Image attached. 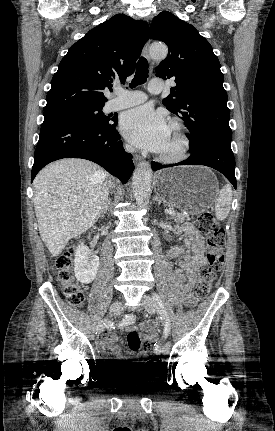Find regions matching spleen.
I'll use <instances>...</instances> for the list:
<instances>
[{"label": "spleen", "instance_id": "1", "mask_svg": "<svg viewBox=\"0 0 275 431\" xmlns=\"http://www.w3.org/2000/svg\"><path fill=\"white\" fill-rule=\"evenodd\" d=\"M232 202V189L230 185H225L219 192L215 204V216L218 220H224L230 211Z\"/></svg>", "mask_w": 275, "mask_h": 431}]
</instances>
